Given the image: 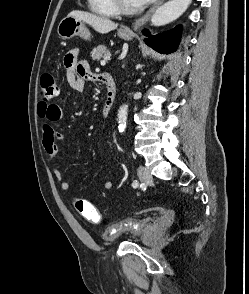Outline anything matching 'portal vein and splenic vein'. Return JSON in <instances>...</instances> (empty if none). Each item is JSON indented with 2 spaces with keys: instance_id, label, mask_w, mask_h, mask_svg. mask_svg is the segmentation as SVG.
Wrapping results in <instances>:
<instances>
[{
  "instance_id": "obj_1",
  "label": "portal vein and splenic vein",
  "mask_w": 249,
  "mask_h": 294,
  "mask_svg": "<svg viewBox=\"0 0 249 294\" xmlns=\"http://www.w3.org/2000/svg\"><path fill=\"white\" fill-rule=\"evenodd\" d=\"M110 58L109 57H106L104 60H102L100 63L102 66H105L106 65V61L109 60Z\"/></svg>"
}]
</instances>
